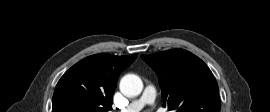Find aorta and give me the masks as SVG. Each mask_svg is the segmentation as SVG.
I'll list each match as a JSON object with an SVG mask.
<instances>
[{
	"label": "aorta",
	"mask_w": 270,
	"mask_h": 112,
	"mask_svg": "<svg viewBox=\"0 0 270 112\" xmlns=\"http://www.w3.org/2000/svg\"><path fill=\"white\" fill-rule=\"evenodd\" d=\"M120 90L125 95L136 97L143 90V82L141 78L135 74H127L120 81Z\"/></svg>",
	"instance_id": "aorta-1"
}]
</instances>
